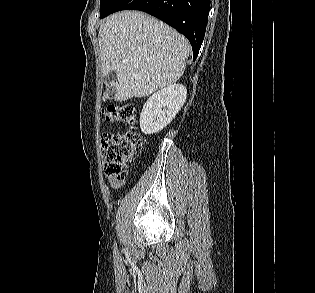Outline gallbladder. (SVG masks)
I'll return each mask as SVG.
<instances>
[{
    "label": "gallbladder",
    "instance_id": "bac80fb5",
    "mask_svg": "<svg viewBox=\"0 0 315 293\" xmlns=\"http://www.w3.org/2000/svg\"><path fill=\"white\" fill-rule=\"evenodd\" d=\"M116 80H117V76H116V73L114 71L109 72L108 75L105 76V78H104V82L106 84L110 83L111 81H116ZM108 94L110 96V99H114V96L116 94L115 88L114 87L109 88Z\"/></svg>",
    "mask_w": 315,
    "mask_h": 293
}]
</instances>
